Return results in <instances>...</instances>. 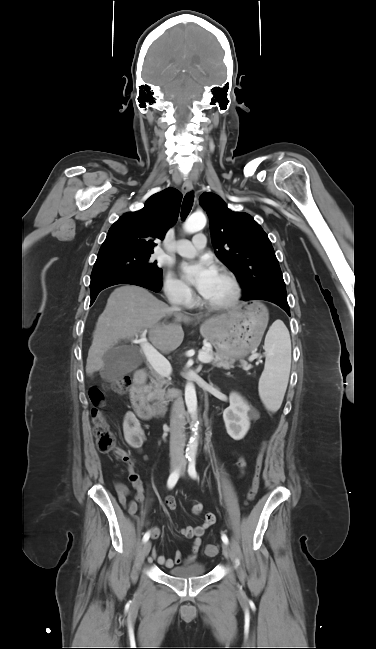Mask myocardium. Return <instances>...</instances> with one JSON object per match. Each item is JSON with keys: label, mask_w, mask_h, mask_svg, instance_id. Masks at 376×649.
Listing matches in <instances>:
<instances>
[{"label": "myocardium", "mask_w": 376, "mask_h": 649, "mask_svg": "<svg viewBox=\"0 0 376 649\" xmlns=\"http://www.w3.org/2000/svg\"><path fill=\"white\" fill-rule=\"evenodd\" d=\"M218 272L227 277L232 286L231 296L224 302L221 303H211L207 301L203 296L201 298V304L209 310L212 311H225L234 307L241 298V286L234 275V273L226 267H219Z\"/></svg>", "instance_id": "f54148a6"}]
</instances>
